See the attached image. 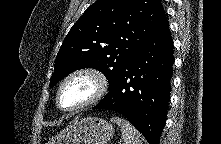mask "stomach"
<instances>
[{"mask_svg": "<svg viewBox=\"0 0 221 144\" xmlns=\"http://www.w3.org/2000/svg\"><path fill=\"white\" fill-rule=\"evenodd\" d=\"M113 134L112 124L105 119L76 118L50 144H106Z\"/></svg>", "mask_w": 221, "mask_h": 144, "instance_id": "1", "label": "stomach"}]
</instances>
